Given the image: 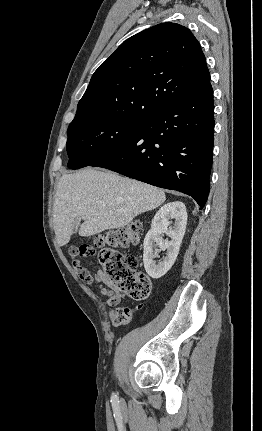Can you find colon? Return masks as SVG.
Returning <instances> with one entry per match:
<instances>
[{"label": "colon", "mask_w": 262, "mask_h": 431, "mask_svg": "<svg viewBox=\"0 0 262 431\" xmlns=\"http://www.w3.org/2000/svg\"><path fill=\"white\" fill-rule=\"evenodd\" d=\"M138 234L139 225L130 224L99 234L88 244L72 246L70 255L74 259V269L80 276L86 274L87 268L81 259L91 258L96 250H100L101 280L112 288L126 292L133 300L147 299L151 289L150 280L144 273L138 271L139 260L115 251L118 247H128L137 243ZM129 319L130 310L120 309L112 316V323L121 326L128 323Z\"/></svg>", "instance_id": "obj_1"}]
</instances>
